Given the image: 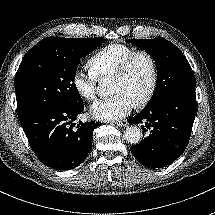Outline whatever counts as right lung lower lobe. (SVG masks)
<instances>
[{"label":"right lung lower lobe","instance_id":"1","mask_svg":"<svg viewBox=\"0 0 215 215\" xmlns=\"http://www.w3.org/2000/svg\"><path fill=\"white\" fill-rule=\"evenodd\" d=\"M84 110L53 104L30 111L19 118L29 144L47 167L70 170L79 166L91 150L92 135L100 122L72 123Z\"/></svg>","mask_w":215,"mask_h":215}]
</instances>
